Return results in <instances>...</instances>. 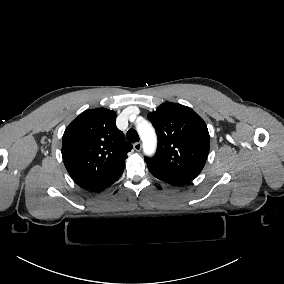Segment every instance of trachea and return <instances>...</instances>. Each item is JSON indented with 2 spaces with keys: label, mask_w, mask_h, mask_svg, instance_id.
I'll return each mask as SVG.
<instances>
[{
  "label": "trachea",
  "mask_w": 284,
  "mask_h": 284,
  "mask_svg": "<svg viewBox=\"0 0 284 284\" xmlns=\"http://www.w3.org/2000/svg\"><path fill=\"white\" fill-rule=\"evenodd\" d=\"M126 139L130 143H135L139 141V135L134 129H129L128 132L126 133Z\"/></svg>",
  "instance_id": "trachea-1"
}]
</instances>
